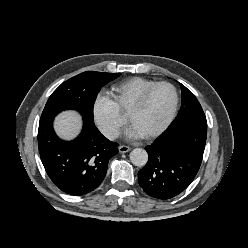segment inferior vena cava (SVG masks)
Wrapping results in <instances>:
<instances>
[{"mask_svg": "<svg viewBox=\"0 0 248 248\" xmlns=\"http://www.w3.org/2000/svg\"><path fill=\"white\" fill-rule=\"evenodd\" d=\"M103 133L110 140H114V139H116L119 136L118 131L115 130V129H111V128L104 130Z\"/></svg>", "mask_w": 248, "mask_h": 248, "instance_id": "602c4592", "label": "inferior vena cava"}]
</instances>
